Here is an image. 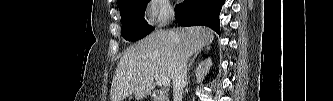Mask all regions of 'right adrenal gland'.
I'll return each instance as SVG.
<instances>
[{
	"mask_svg": "<svg viewBox=\"0 0 333 101\" xmlns=\"http://www.w3.org/2000/svg\"><path fill=\"white\" fill-rule=\"evenodd\" d=\"M205 50L209 51V50H210V47L207 46ZM198 54H199V53L194 54V56L191 58L190 63H189L188 71L191 69V67H192V65H193V63H194V61H195V59L197 58Z\"/></svg>",
	"mask_w": 333,
	"mask_h": 101,
	"instance_id": "obj_1",
	"label": "right adrenal gland"
}]
</instances>
